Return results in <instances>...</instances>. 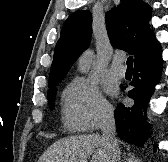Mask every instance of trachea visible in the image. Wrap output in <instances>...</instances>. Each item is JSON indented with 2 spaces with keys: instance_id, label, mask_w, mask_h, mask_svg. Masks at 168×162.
Instances as JSON below:
<instances>
[{
  "instance_id": "trachea-1",
  "label": "trachea",
  "mask_w": 168,
  "mask_h": 162,
  "mask_svg": "<svg viewBox=\"0 0 168 162\" xmlns=\"http://www.w3.org/2000/svg\"><path fill=\"white\" fill-rule=\"evenodd\" d=\"M132 64H133V57L130 56V57H128V59H127V66H128V67H132Z\"/></svg>"
}]
</instances>
